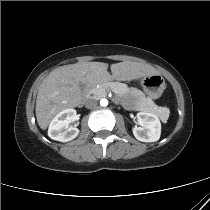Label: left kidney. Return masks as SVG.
<instances>
[{
  "label": "left kidney",
  "instance_id": "obj_1",
  "mask_svg": "<svg viewBox=\"0 0 210 210\" xmlns=\"http://www.w3.org/2000/svg\"><path fill=\"white\" fill-rule=\"evenodd\" d=\"M137 120L141 127H134L135 138L142 142L158 141L161 135V122L153 113L139 112Z\"/></svg>",
  "mask_w": 210,
  "mask_h": 210
}]
</instances>
